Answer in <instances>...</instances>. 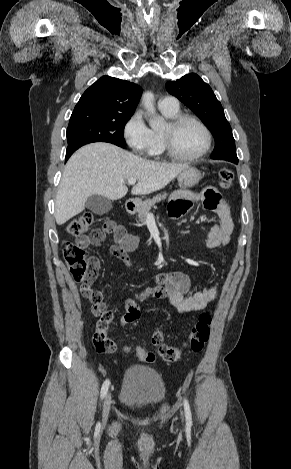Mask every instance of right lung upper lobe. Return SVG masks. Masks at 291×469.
<instances>
[{"instance_id":"right-lung-upper-lobe-1","label":"right lung upper lobe","mask_w":291,"mask_h":469,"mask_svg":"<svg viewBox=\"0 0 291 469\" xmlns=\"http://www.w3.org/2000/svg\"><path fill=\"white\" fill-rule=\"evenodd\" d=\"M141 93L134 83L103 76L83 93L73 113L132 115Z\"/></svg>"}]
</instances>
